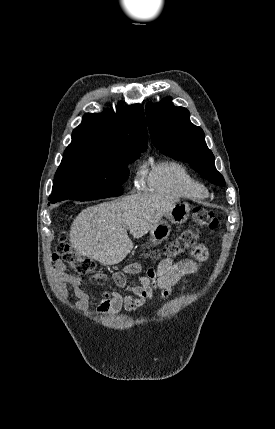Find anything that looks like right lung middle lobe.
<instances>
[{
  "label": "right lung middle lobe",
  "mask_w": 275,
  "mask_h": 429,
  "mask_svg": "<svg viewBox=\"0 0 275 429\" xmlns=\"http://www.w3.org/2000/svg\"><path fill=\"white\" fill-rule=\"evenodd\" d=\"M139 156L140 153H126L114 157L62 159L49 200L90 201L120 196L122 184L129 176L127 165Z\"/></svg>",
  "instance_id": "right-lung-middle-lobe-1"
}]
</instances>
